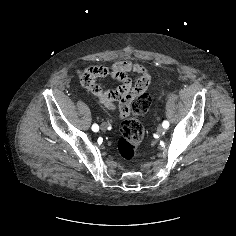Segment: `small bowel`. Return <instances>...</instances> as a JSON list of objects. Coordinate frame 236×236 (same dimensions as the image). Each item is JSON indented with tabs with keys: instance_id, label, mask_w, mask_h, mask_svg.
<instances>
[{
	"instance_id": "obj_1",
	"label": "small bowel",
	"mask_w": 236,
	"mask_h": 236,
	"mask_svg": "<svg viewBox=\"0 0 236 236\" xmlns=\"http://www.w3.org/2000/svg\"><path fill=\"white\" fill-rule=\"evenodd\" d=\"M136 74H139L136 80ZM110 77L120 82L115 89L103 91L98 78ZM136 80V81H135ZM81 85L96 94L107 110L115 115H126L129 107L146 90L150 82V74L139 63L120 60L110 66L88 67L79 73Z\"/></svg>"
}]
</instances>
